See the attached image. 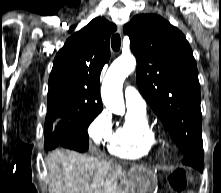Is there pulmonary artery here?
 I'll return each instance as SVG.
<instances>
[{
  "label": "pulmonary artery",
  "mask_w": 221,
  "mask_h": 193,
  "mask_svg": "<svg viewBox=\"0 0 221 193\" xmlns=\"http://www.w3.org/2000/svg\"><path fill=\"white\" fill-rule=\"evenodd\" d=\"M124 97L128 109L138 112L146 111V103L140 93L134 87H126Z\"/></svg>",
  "instance_id": "e3ab8cb5"
}]
</instances>
